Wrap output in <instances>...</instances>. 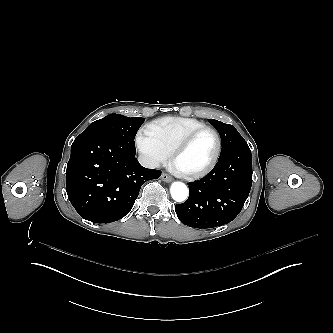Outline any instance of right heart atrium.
I'll use <instances>...</instances> for the list:
<instances>
[{"mask_svg":"<svg viewBox=\"0 0 333 333\" xmlns=\"http://www.w3.org/2000/svg\"><path fill=\"white\" fill-rule=\"evenodd\" d=\"M137 149L151 166L160 167L165 165L167 155L164 154L160 149L148 145L141 140H137Z\"/></svg>","mask_w":333,"mask_h":333,"instance_id":"right-heart-atrium-1","label":"right heart atrium"}]
</instances>
